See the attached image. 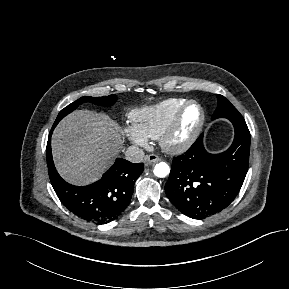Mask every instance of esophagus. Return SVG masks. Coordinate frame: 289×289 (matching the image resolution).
Returning a JSON list of instances; mask_svg holds the SVG:
<instances>
[{"instance_id": "1", "label": "esophagus", "mask_w": 289, "mask_h": 289, "mask_svg": "<svg viewBox=\"0 0 289 289\" xmlns=\"http://www.w3.org/2000/svg\"><path fill=\"white\" fill-rule=\"evenodd\" d=\"M160 160H161V158L156 154H150V155L146 156V158H145V162L147 164L155 163V162H158Z\"/></svg>"}]
</instances>
